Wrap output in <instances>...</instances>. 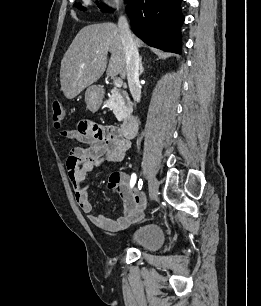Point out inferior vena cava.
<instances>
[{
	"label": "inferior vena cava",
	"mask_w": 261,
	"mask_h": 306,
	"mask_svg": "<svg viewBox=\"0 0 261 306\" xmlns=\"http://www.w3.org/2000/svg\"><path fill=\"white\" fill-rule=\"evenodd\" d=\"M118 28L121 35L123 48L126 57V74L128 86L134 101L141 99V87L139 84L140 58L137 45L129 29V24L125 16H120Z\"/></svg>",
	"instance_id": "1"
}]
</instances>
